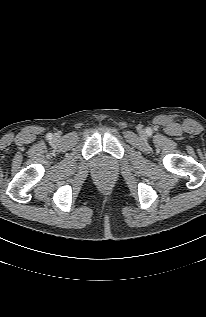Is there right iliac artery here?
I'll return each mask as SVG.
<instances>
[{
    "mask_svg": "<svg viewBox=\"0 0 206 317\" xmlns=\"http://www.w3.org/2000/svg\"><path fill=\"white\" fill-rule=\"evenodd\" d=\"M47 138L51 139L52 138V134L51 133L47 134Z\"/></svg>",
    "mask_w": 206,
    "mask_h": 317,
    "instance_id": "1",
    "label": "right iliac artery"
}]
</instances>
